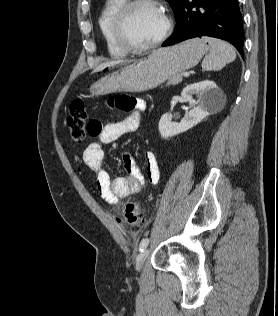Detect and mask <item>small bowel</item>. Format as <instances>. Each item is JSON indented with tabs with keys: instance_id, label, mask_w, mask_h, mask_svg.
Instances as JSON below:
<instances>
[{
	"instance_id": "small-bowel-1",
	"label": "small bowel",
	"mask_w": 278,
	"mask_h": 316,
	"mask_svg": "<svg viewBox=\"0 0 278 316\" xmlns=\"http://www.w3.org/2000/svg\"><path fill=\"white\" fill-rule=\"evenodd\" d=\"M111 105L130 113L126 118L108 123L104 126L98 121L100 130L96 135L99 142L90 143L83 151V162L96 178V185L101 198L111 205H117L121 199L142 191L146 186L156 185L160 179V170L156 155L152 151L144 154L146 175L136 164L134 156L129 152L122 154V161L126 176L111 177L104 166V151L102 144L111 143L123 135L138 129L140 115L146 104L141 99L131 97H117Z\"/></svg>"
}]
</instances>
